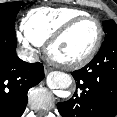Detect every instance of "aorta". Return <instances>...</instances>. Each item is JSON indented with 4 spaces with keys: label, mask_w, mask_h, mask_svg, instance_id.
I'll use <instances>...</instances> for the list:
<instances>
[{
    "label": "aorta",
    "mask_w": 117,
    "mask_h": 117,
    "mask_svg": "<svg viewBox=\"0 0 117 117\" xmlns=\"http://www.w3.org/2000/svg\"><path fill=\"white\" fill-rule=\"evenodd\" d=\"M46 82L50 89L58 92V96L65 97L66 93L63 90L71 86L72 78L66 73L54 71L48 74Z\"/></svg>",
    "instance_id": "762f6f07"
}]
</instances>
